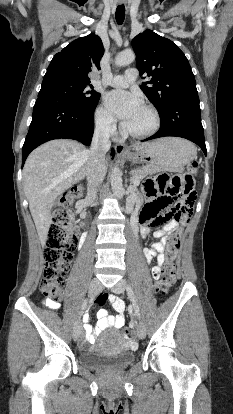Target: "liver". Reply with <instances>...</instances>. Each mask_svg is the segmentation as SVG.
<instances>
[{"label":"liver","mask_w":233,"mask_h":414,"mask_svg":"<svg viewBox=\"0 0 233 414\" xmlns=\"http://www.w3.org/2000/svg\"><path fill=\"white\" fill-rule=\"evenodd\" d=\"M147 144H137L133 149L139 150ZM88 157L89 150L83 144L68 139L49 141L28 156L23 168L24 191L43 246L52 223L54 202L84 179Z\"/></svg>","instance_id":"6515ba94"}]
</instances>
